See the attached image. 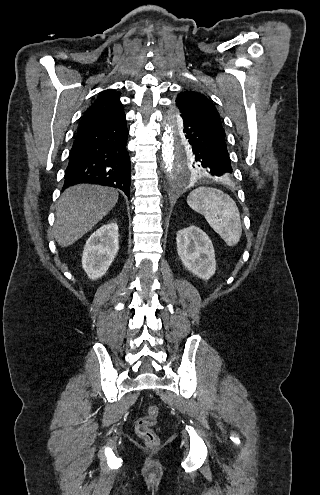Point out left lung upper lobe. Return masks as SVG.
I'll return each mask as SVG.
<instances>
[{"instance_id": "5c2ea615", "label": "left lung upper lobe", "mask_w": 320, "mask_h": 495, "mask_svg": "<svg viewBox=\"0 0 320 495\" xmlns=\"http://www.w3.org/2000/svg\"><path fill=\"white\" fill-rule=\"evenodd\" d=\"M178 109L177 116L174 118L175 137H174V162L180 166L189 177H210L201 165L200 154L197 149L190 146L183 137L180 129L179 114H189L194 116L198 121L205 123L217 134L225 138V131L222 127L219 113L213 103L202 93L192 89L184 88L176 98ZM180 134L182 136H180Z\"/></svg>"}]
</instances>
